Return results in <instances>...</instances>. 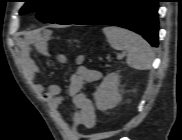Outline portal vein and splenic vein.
<instances>
[{
    "label": "portal vein and splenic vein",
    "instance_id": "1",
    "mask_svg": "<svg viewBox=\"0 0 182 140\" xmlns=\"http://www.w3.org/2000/svg\"><path fill=\"white\" fill-rule=\"evenodd\" d=\"M122 57V55H118L117 58L120 59Z\"/></svg>",
    "mask_w": 182,
    "mask_h": 140
}]
</instances>
